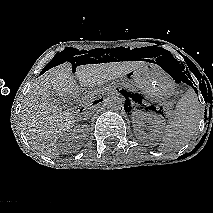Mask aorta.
Listing matches in <instances>:
<instances>
[{"label": "aorta", "instance_id": "aorta-1", "mask_svg": "<svg viewBox=\"0 0 213 213\" xmlns=\"http://www.w3.org/2000/svg\"><path fill=\"white\" fill-rule=\"evenodd\" d=\"M106 106L112 111H119L123 108V99L119 94H112L105 100Z\"/></svg>", "mask_w": 213, "mask_h": 213}]
</instances>
